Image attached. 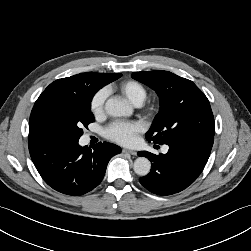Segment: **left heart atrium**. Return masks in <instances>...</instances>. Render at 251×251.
Masks as SVG:
<instances>
[{
    "mask_svg": "<svg viewBox=\"0 0 251 251\" xmlns=\"http://www.w3.org/2000/svg\"><path fill=\"white\" fill-rule=\"evenodd\" d=\"M144 126L141 122L115 121L105 129V136L117 143L130 145L134 142L138 133L142 132Z\"/></svg>",
    "mask_w": 251,
    "mask_h": 251,
    "instance_id": "left-heart-atrium-1",
    "label": "left heart atrium"
}]
</instances>
